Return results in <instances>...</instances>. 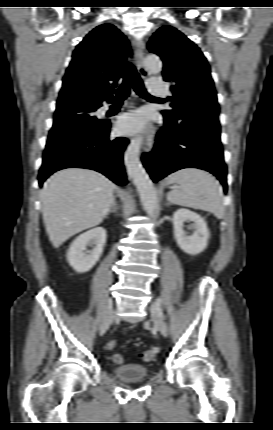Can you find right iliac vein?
I'll return each instance as SVG.
<instances>
[{
  "label": "right iliac vein",
  "instance_id": "1",
  "mask_svg": "<svg viewBox=\"0 0 273 430\" xmlns=\"http://www.w3.org/2000/svg\"><path fill=\"white\" fill-rule=\"evenodd\" d=\"M114 317V311L112 309L104 313L99 326L100 334H103L109 328V326L113 322Z\"/></svg>",
  "mask_w": 273,
  "mask_h": 430
}]
</instances>
